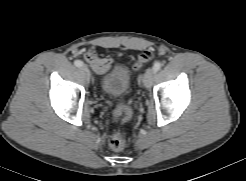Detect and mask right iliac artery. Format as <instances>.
I'll use <instances>...</instances> for the list:
<instances>
[{"mask_svg": "<svg viewBox=\"0 0 246 181\" xmlns=\"http://www.w3.org/2000/svg\"><path fill=\"white\" fill-rule=\"evenodd\" d=\"M74 65H75L76 67H81V66L83 65V62L80 61V60H76V61H74Z\"/></svg>", "mask_w": 246, "mask_h": 181, "instance_id": "right-iliac-artery-1", "label": "right iliac artery"}]
</instances>
